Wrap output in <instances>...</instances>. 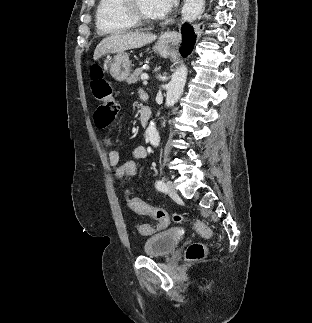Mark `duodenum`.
<instances>
[{
    "label": "duodenum",
    "mask_w": 312,
    "mask_h": 323,
    "mask_svg": "<svg viewBox=\"0 0 312 323\" xmlns=\"http://www.w3.org/2000/svg\"><path fill=\"white\" fill-rule=\"evenodd\" d=\"M152 116V109L148 103H146L140 110L139 123L141 127H146Z\"/></svg>",
    "instance_id": "410a0bca"
}]
</instances>
